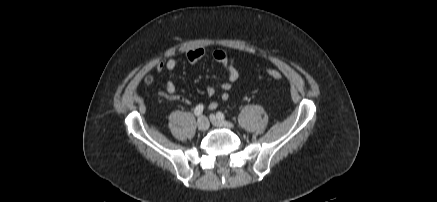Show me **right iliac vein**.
Returning <instances> with one entry per match:
<instances>
[{
    "label": "right iliac vein",
    "mask_w": 437,
    "mask_h": 202,
    "mask_svg": "<svg viewBox=\"0 0 437 202\" xmlns=\"http://www.w3.org/2000/svg\"><path fill=\"white\" fill-rule=\"evenodd\" d=\"M197 127L200 131H206L209 128V121L206 117L201 116L198 118Z\"/></svg>",
    "instance_id": "obj_1"
}]
</instances>
